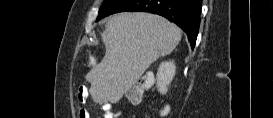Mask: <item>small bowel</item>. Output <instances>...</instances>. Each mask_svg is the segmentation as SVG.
<instances>
[{"instance_id":"c3829d8e","label":"small bowel","mask_w":273,"mask_h":118,"mask_svg":"<svg viewBox=\"0 0 273 118\" xmlns=\"http://www.w3.org/2000/svg\"><path fill=\"white\" fill-rule=\"evenodd\" d=\"M88 98V90L85 86L80 87L79 92H78V100L81 104H84L86 102ZM102 110L105 114L106 118H116V117H120L123 112L119 111L118 113L114 114L111 111V106L110 104H104L102 105ZM79 116L80 118H89L88 112L84 107H81L79 110Z\"/></svg>"}]
</instances>
